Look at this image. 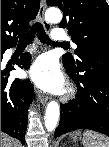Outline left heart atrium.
Segmentation results:
<instances>
[{
	"label": "left heart atrium",
	"mask_w": 109,
	"mask_h": 147,
	"mask_svg": "<svg viewBox=\"0 0 109 147\" xmlns=\"http://www.w3.org/2000/svg\"><path fill=\"white\" fill-rule=\"evenodd\" d=\"M31 77L39 87L51 93L58 94L65 90L64 76L52 56L39 58L31 70Z\"/></svg>",
	"instance_id": "39dd6f15"
}]
</instances>
